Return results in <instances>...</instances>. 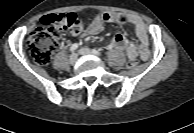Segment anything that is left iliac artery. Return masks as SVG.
<instances>
[{"label":"left iliac artery","instance_id":"obj_1","mask_svg":"<svg viewBox=\"0 0 194 133\" xmlns=\"http://www.w3.org/2000/svg\"><path fill=\"white\" fill-rule=\"evenodd\" d=\"M92 51H93V53L96 54V55H99V56L101 55V53H100L98 50H96V49H93Z\"/></svg>","mask_w":194,"mask_h":133}]
</instances>
